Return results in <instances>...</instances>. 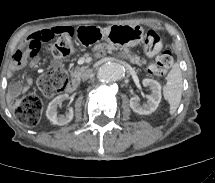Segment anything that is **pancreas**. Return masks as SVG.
I'll return each mask as SVG.
<instances>
[{
    "instance_id": "pancreas-1",
    "label": "pancreas",
    "mask_w": 215,
    "mask_h": 183,
    "mask_svg": "<svg viewBox=\"0 0 215 183\" xmlns=\"http://www.w3.org/2000/svg\"><path fill=\"white\" fill-rule=\"evenodd\" d=\"M104 47L107 50H115V49H117L113 45L106 44V43H104V44H97L94 47V49L95 50H101ZM119 57L122 58V59H127L131 63L137 64L138 66H142V65H146L147 64V61L145 59L140 58L137 55L131 54V51L128 48H123L122 51L119 53ZM85 68L86 67H83V66L76 67L75 69L70 70V74H71L72 77L79 78L81 76L82 72L85 70Z\"/></svg>"
}]
</instances>
